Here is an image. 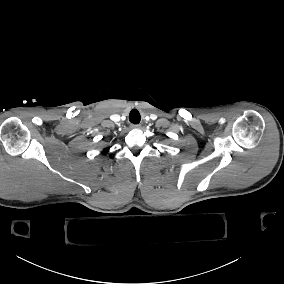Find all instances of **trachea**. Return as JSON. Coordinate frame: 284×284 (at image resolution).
<instances>
[{
  "label": "trachea",
  "mask_w": 284,
  "mask_h": 284,
  "mask_svg": "<svg viewBox=\"0 0 284 284\" xmlns=\"http://www.w3.org/2000/svg\"><path fill=\"white\" fill-rule=\"evenodd\" d=\"M140 113L138 110L133 109L130 114H129V120L133 123V124H138L140 122Z\"/></svg>",
  "instance_id": "1"
}]
</instances>
